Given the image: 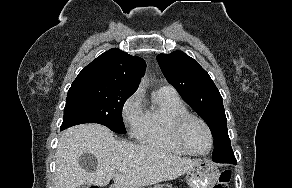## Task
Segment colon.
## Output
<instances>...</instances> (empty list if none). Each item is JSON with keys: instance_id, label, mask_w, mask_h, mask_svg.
<instances>
[{"instance_id": "5ec220e1", "label": "colon", "mask_w": 292, "mask_h": 188, "mask_svg": "<svg viewBox=\"0 0 292 188\" xmlns=\"http://www.w3.org/2000/svg\"><path fill=\"white\" fill-rule=\"evenodd\" d=\"M231 180V171L225 170L221 173L218 182L213 188H229V183ZM89 188H98V187H89Z\"/></svg>"}]
</instances>
